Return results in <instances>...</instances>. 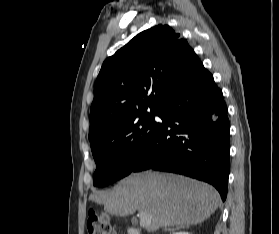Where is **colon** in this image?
Here are the masks:
<instances>
[{
  "label": "colon",
  "mask_w": 279,
  "mask_h": 234,
  "mask_svg": "<svg viewBox=\"0 0 279 234\" xmlns=\"http://www.w3.org/2000/svg\"><path fill=\"white\" fill-rule=\"evenodd\" d=\"M87 234H110V221L107 215L91 212L87 220Z\"/></svg>",
  "instance_id": "colon-1"
}]
</instances>
